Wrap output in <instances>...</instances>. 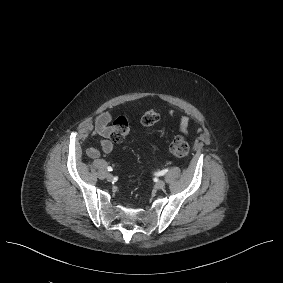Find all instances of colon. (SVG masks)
<instances>
[{"instance_id": "1", "label": "colon", "mask_w": 283, "mask_h": 283, "mask_svg": "<svg viewBox=\"0 0 283 283\" xmlns=\"http://www.w3.org/2000/svg\"><path fill=\"white\" fill-rule=\"evenodd\" d=\"M160 119V115L155 109H148L144 112L141 123L144 129H152ZM130 120L127 116H119L113 123L111 138L114 142L123 141L129 134ZM171 154L176 158H184L189 153V144L182 136H176L170 146Z\"/></svg>"}]
</instances>
